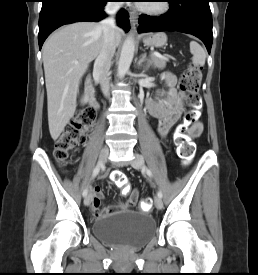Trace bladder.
Instances as JSON below:
<instances>
[{
	"label": "bladder",
	"instance_id": "1",
	"mask_svg": "<svg viewBox=\"0 0 258 275\" xmlns=\"http://www.w3.org/2000/svg\"><path fill=\"white\" fill-rule=\"evenodd\" d=\"M95 237L116 245L141 247L156 234V221L150 215L124 211L93 221Z\"/></svg>",
	"mask_w": 258,
	"mask_h": 275
}]
</instances>
